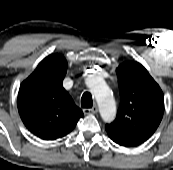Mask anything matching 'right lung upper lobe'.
<instances>
[{
  "label": "right lung upper lobe",
  "instance_id": "cb5924a9",
  "mask_svg": "<svg viewBox=\"0 0 173 170\" xmlns=\"http://www.w3.org/2000/svg\"><path fill=\"white\" fill-rule=\"evenodd\" d=\"M66 72V59L59 54H51L20 86V117L26 128L43 140L67 135L83 116L62 86Z\"/></svg>",
  "mask_w": 173,
  "mask_h": 170
}]
</instances>
